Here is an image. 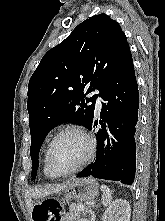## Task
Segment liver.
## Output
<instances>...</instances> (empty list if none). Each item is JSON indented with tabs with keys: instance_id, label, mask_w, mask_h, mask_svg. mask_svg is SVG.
Returning a JSON list of instances; mask_svg holds the SVG:
<instances>
[{
	"instance_id": "1",
	"label": "liver",
	"mask_w": 165,
	"mask_h": 221,
	"mask_svg": "<svg viewBox=\"0 0 165 221\" xmlns=\"http://www.w3.org/2000/svg\"><path fill=\"white\" fill-rule=\"evenodd\" d=\"M66 186V183L57 185V186H51V187H45V188H32L27 191L26 193V202L29 208V212L31 213L33 210V204L31 203L32 197H45L52 193L60 192L64 187Z\"/></svg>"
}]
</instances>
